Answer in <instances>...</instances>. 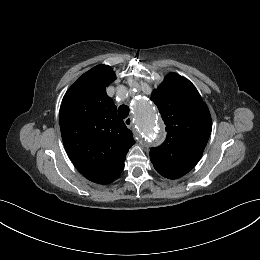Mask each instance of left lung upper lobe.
<instances>
[{
    "label": "left lung upper lobe",
    "mask_w": 260,
    "mask_h": 260,
    "mask_svg": "<svg viewBox=\"0 0 260 260\" xmlns=\"http://www.w3.org/2000/svg\"><path fill=\"white\" fill-rule=\"evenodd\" d=\"M151 100L167 131L165 142L150 149L151 162L163 177L180 178L202 157L212 130L210 112L195 86L173 72L152 92Z\"/></svg>",
    "instance_id": "left-lung-upper-lobe-1"
}]
</instances>
